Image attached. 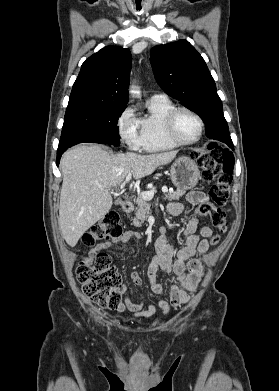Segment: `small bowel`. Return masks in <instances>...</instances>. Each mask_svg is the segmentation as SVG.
<instances>
[{
  "instance_id": "1",
  "label": "small bowel",
  "mask_w": 279,
  "mask_h": 391,
  "mask_svg": "<svg viewBox=\"0 0 279 391\" xmlns=\"http://www.w3.org/2000/svg\"><path fill=\"white\" fill-rule=\"evenodd\" d=\"M186 200L192 205L208 204V197L201 191L190 192ZM184 205L178 202H171L168 205V211L171 215H179L183 212ZM183 236L186 237L185 246L175 251L170 245L165 229H161V234L155 242L156 255L150 262L147 269V277L150 284V290L156 295L162 294L167 290V299L157 298L151 301L145 308L143 302L134 303L126 296L123 304L118 308L120 313L126 309L132 312L133 317L137 319H150L155 315L156 308L162 313L169 314L172 308L187 303L192 293L199 288L201 279L204 275V268L201 261L194 258L195 255H203L209 251L208 239L214 236L213 231L207 226H199L198 218L194 217L188 221ZM139 233L132 231L124 232L118 239L126 243L133 238H140ZM110 243L101 242L95 245L87 259L92 261L102 250L107 248ZM162 270L168 274H174L177 284L165 287L157 281V272ZM131 279L135 285L142 284V278L138 272H132Z\"/></svg>"
}]
</instances>
